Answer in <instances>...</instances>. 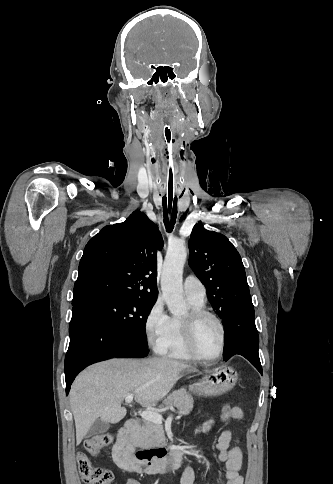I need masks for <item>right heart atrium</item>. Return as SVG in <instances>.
<instances>
[{
  "instance_id": "right-heart-atrium-1",
  "label": "right heart atrium",
  "mask_w": 333,
  "mask_h": 484,
  "mask_svg": "<svg viewBox=\"0 0 333 484\" xmlns=\"http://www.w3.org/2000/svg\"><path fill=\"white\" fill-rule=\"evenodd\" d=\"M170 317L167 315L163 301L157 299L150 307L144 319V332L148 344L160 352L164 346Z\"/></svg>"
}]
</instances>
